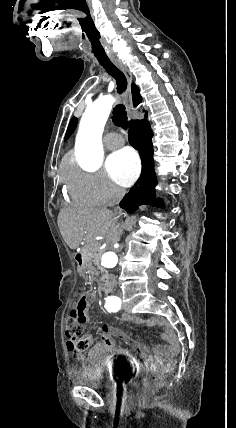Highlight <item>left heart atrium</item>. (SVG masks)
I'll list each match as a JSON object with an SVG mask.
<instances>
[{
    "instance_id": "39dd6f15",
    "label": "left heart atrium",
    "mask_w": 236,
    "mask_h": 428,
    "mask_svg": "<svg viewBox=\"0 0 236 428\" xmlns=\"http://www.w3.org/2000/svg\"><path fill=\"white\" fill-rule=\"evenodd\" d=\"M111 179L121 186H130L140 174V161L134 150L122 148L112 154L106 163Z\"/></svg>"
}]
</instances>
